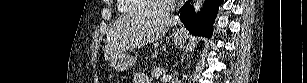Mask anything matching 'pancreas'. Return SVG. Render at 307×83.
Listing matches in <instances>:
<instances>
[{
    "mask_svg": "<svg viewBox=\"0 0 307 83\" xmlns=\"http://www.w3.org/2000/svg\"><path fill=\"white\" fill-rule=\"evenodd\" d=\"M151 75L155 79H159L164 75V69L156 67L154 70H152Z\"/></svg>",
    "mask_w": 307,
    "mask_h": 83,
    "instance_id": "1",
    "label": "pancreas"
}]
</instances>
